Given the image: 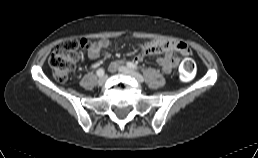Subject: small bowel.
Wrapping results in <instances>:
<instances>
[{
	"label": "small bowel",
	"mask_w": 258,
	"mask_h": 158,
	"mask_svg": "<svg viewBox=\"0 0 258 158\" xmlns=\"http://www.w3.org/2000/svg\"><path fill=\"white\" fill-rule=\"evenodd\" d=\"M111 42L107 39H102L92 44L88 49V58L96 60L103 56L108 58L110 54L107 49L110 47ZM157 63L164 73H170L174 68L180 65L182 58L190 54L188 45L181 41L156 39L150 42L143 43L139 46V53L134 57L135 62H141L146 56L158 55ZM122 63V61H114L110 64L111 71Z\"/></svg>",
	"instance_id": "small-bowel-1"
}]
</instances>
